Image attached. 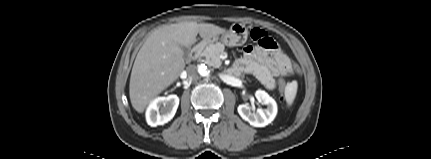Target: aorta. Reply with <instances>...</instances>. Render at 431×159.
Segmentation results:
<instances>
[{"label": "aorta", "instance_id": "762f6f07", "mask_svg": "<svg viewBox=\"0 0 431 159\" xmlns=\"http://www.w3.org/2000/svg\"><path fill=\"white\" fill-rule=\"evenodd\" d=\"M199 72L201 77L205 80H210L213 77V72L210 70L209 66L201 65L199 67Z\"/></svg>", "mask_w": 431, "mask_h": 159}]
</instances>
